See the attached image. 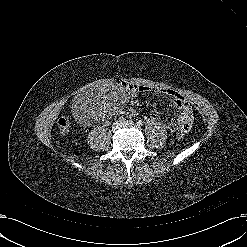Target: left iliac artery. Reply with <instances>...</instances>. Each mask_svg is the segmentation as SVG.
Segmentation results:
<instances>
[{"label":"left iliac artery","mask_w":247,"mask_h":247,"mask_svg":"<svg viewBox=\"0 0 247 247\" xmlns=\"http://www.w3.org/2000/svg\"><path fill=\"white\" fill-rule=\"evenodd\" d=\"M136 124H137L138 127L143 125L142 121H140V120Z\"/></svg>","instance_id":"obj_1"}]
</instances>
